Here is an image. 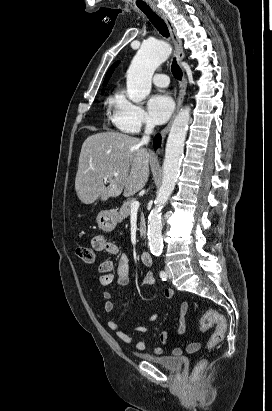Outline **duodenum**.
Listing matches in <instances>:
<instances>
[{"label": "duodenum", "mask_w": 272, "mask_h": 411, "mask_svg": "<svg viewBox=\"0 0 272 411\" xmlns=\"http://www.w3.org/2000/svg\"><path fill=\"white\" fill-rule=\"evenodd\" d=\"M141 260L145 265H152L153 264V257L151 253L147 250L141 252Z\"/></svg>", "instance_id": "410a0bca"}]
</instances>
